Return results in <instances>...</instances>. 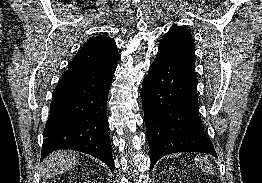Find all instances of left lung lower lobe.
Wrapping results in <instances>:
<instances>
[{
	"label": "left lung lower lobe",
	"instance_id": "left-lung-lower-lobe-1",
	"mask_svg": "<svg viewBox=\"0 0 262 183\" xmlns=\"http://www.w3.org/2000/svg\"><path fill=\"white\" fill-rule=\"evenodd\" d=\"M195 63L158 50L143 80L142 108L154 167L161 157L202 152L217 158L199 116Z\"/></svg>",
	"mask_w": 262,
	"mask_h": 183
}]
</instances>
